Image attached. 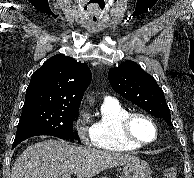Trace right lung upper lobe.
I'll return each mask as SVG.
<instances>
[{
  "instance_id": "obj_1",
  "label": "right lung upper lobe",
  "mask_w": 194,
  "mask_h": 178,
  "mask_svg": "<svg viewBox=\"0 0 194 178\" xmlns=\"http://www.w3.org/2000/svg\"><path fill=\"white\" fill-rule=\"evenodd\" d=\"M91 78V71L85 63L58 54L33 73L25 100L49 99L79 108Z\"/></svg>"
}]
</instances>
